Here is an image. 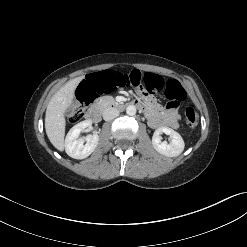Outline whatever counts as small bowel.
I'll list each match as a JSON object with an SVG mask.
<instances>
[{"instance_id": "1", "label": "small bowel", "mask_w": 247, "mask_h": 247, "mask_svg": "<svg viewBox=\"0 0 247 247\" xmlns=\"http://www.w3.org/2000/svg\"><path fill=\"white\" fill-rule=\"evenodd\" d=\"M138 94L143 105V111L152 128H171L179 127V114L176 107L167 106L161 109L154 101L147 96L144 90L138 89Z\"/></svg>"}]
</instances>
